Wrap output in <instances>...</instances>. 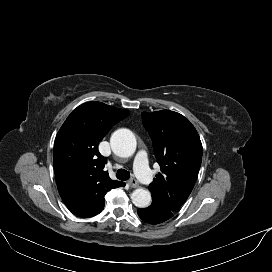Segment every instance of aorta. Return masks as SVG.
<instances>
[{
	"label": "aorta",
	"mask_w": 272,
	"mask_h": 272,
	"mask_svg": "<svg viewBox=\"0 0 272 272\" xmlns=\"http://www.w3.org/2000/svg\"><path fill=\"white\" fill-rule=\"evenodd\" d=\"M111 149L119 157H130L136 149V138L129 129H118L110 138ZM133 204L146 208L151 203V194L147 189L138 188L131 194Z\"/></svg>",
	"instance_id": "aorta-1"
}]
</instances>
